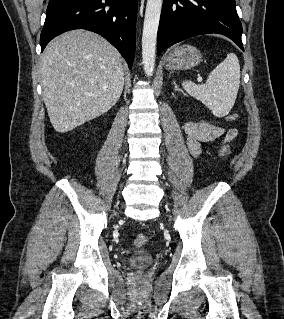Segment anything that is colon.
<instances>
[{
	"label": "colon",
	"instance_id": "obj_1",
	"mask_svg": "<svg viewBox=\"0 0 284 319\" xmlns=\"http://www.w3.org/2000/svg\"><path fill=\"white\" fill-rule=\"evenodd\" d=\"M238 118V114L237 113H232L226 116V120L228 121H234ZM230 153L228 147L223 146L220 149V154L222 155H228ZM148 242V236L146 234H137L133 240V244L136 247H141L144 246L146 243Z\"/></svg>",
	"mask_w": 284,
	"mask_h": 319
}]
</instances>
